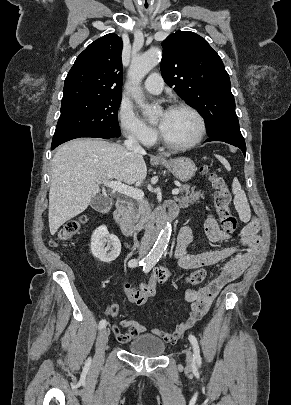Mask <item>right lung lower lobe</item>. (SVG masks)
<instances>
[{
  "instance_id": "98d812e1",
  "label": "right lung lower lobe",
  "mask_w": 291,
  "mask_h": 405,
  "mask_svg": "<svg viewBox=\"0 0 291 405\" xmlns=\"http://www.w3.org/2000/svg\"><path fill=\"white\" fill-rule=\"evenodd\" d=\"M89 137H98V138H104V139H110V138H116V137H111V136H89ZM60 145V144H59ZM58 145L51 146V149H55Z\"/></svg>"
}]
</instances>
